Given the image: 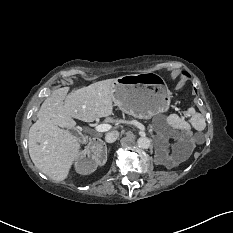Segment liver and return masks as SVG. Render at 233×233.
<instances>
[{"label":"liver","instance_id":"obj_1","mask_svg":"<svg viewBox=\"0 0 233 233\" xmlns=\"http://www.w3.org/2000/svg\"><path fill=\"white\" fill-rule=\"evenodd\" d=\"M114 82L115 79L99 81L69 94V87L52 91L29 130V154L36 168L58 182L68 177L80 156L81 145L66 129L76 126L73 118L93 122L112 115Z\"/></svg>","mask_w":233,"mask_h":233}]
</instances>
